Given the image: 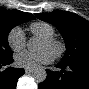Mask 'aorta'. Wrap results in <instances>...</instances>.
I'll list each match as a JSON object with an SVG mask.
<instances>
[{
    "label": "aorta",
    "instance_id": "1",
    "mask_svg": "<svg viewBox=\"0 0 89 89\" xmlns=\"http://www.w3.org/2000/svg\"><path fill=\"white\" fill-rule=\"evenodd\" d=\"M38 40L35 37H32L29 39L28 43H27V48L30 51H34L37 50L38 48ZM32 77L34 78V80L36 82H43L45 81L46 77H47V73L45 71V69L43 68H36L33 73H32Z\"/></svg>",
    "mask_w": 89,
    "mask_h": 89
}]
</instances>
